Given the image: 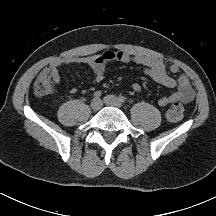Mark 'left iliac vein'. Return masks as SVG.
<instances>
[{"mask_svg":"<svg viewBox=\"0 0 216 216\" xmlns=\"http://www.w3.org/2000/svg\"><path fill=\"white\" fill-rule=\"evenodd\" d=\"M103 101H104V103L106 105L117 107V108L121 107L120 100L116 96H114V95H107V96H105L104 99H103Z\"/></svg>","mask_w":216,"mask_h":216,"instance_id":"1","label":"left iliac vein"}]
</instances>
